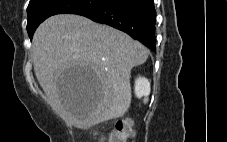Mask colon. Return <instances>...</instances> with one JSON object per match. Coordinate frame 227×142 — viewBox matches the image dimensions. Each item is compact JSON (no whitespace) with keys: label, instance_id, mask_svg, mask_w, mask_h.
I'll use <instances>...</instances> for the list:
<instances>
[{"label":"colon","instance_id":"1","mask_svg":"<svg viewBox=\"0 0 227 142\" xmlns=\"http://www.w3.org/2000/svg\"><path fill=\"white\" fill-rule=\"evenodd\" d=\"M133 132V122L130 119L119 120L114 128L101 137L100 142H128Z\"/></svg>","mask_w":227,"mask_h":142}]
</instances>
